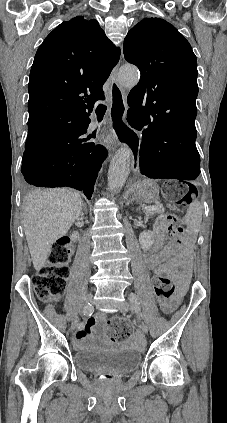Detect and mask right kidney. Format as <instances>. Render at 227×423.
I'll return each instance as SVG.
<instances>
[{"label": "right kidney", "mask_w": 227, "mask_h": 423, "mask_svg": "<svg viewBox=\"0 0 227 423\" xmlns=\"http://www.w3.org/2000/svg\"><path fill=\"white\" fill-rule=\"evenodd\" d=\"M77 239H79V233L78 231H74V233L70 235V241H77Z\"/></svg>", "instance_id": "ca27d5eb"}]
</instances>
